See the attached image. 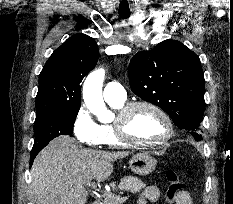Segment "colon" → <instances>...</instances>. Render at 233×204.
<instances>
[{"label":"colon","mask_w":233,"mask_h":204,"mask_svg":"<svg viewBox=\"0 0 233 204\" xmlns=\"http://www.w3.org/2000/svg\"><path fill=\"white\" fill-rule=\"evenodd\" d=\"M166 179L169 183L167 190V199L169 201L176 200L182 193L186 192L185 184L174 170H168L166 172Z\"/></svg>","instance_id":"colon-1"}]
</instances>
